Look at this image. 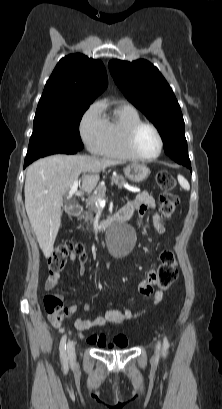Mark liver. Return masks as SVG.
<instances>
[{"instance_id":"liver-1","label":"liver","mask_w":222,"mask_h":409,"mask_svg":"<svg viewBox=\"0 0 222 409\" xmlns=\"http://www.w3.org/2000/svg\"><path fill=\"white\" fill-rule=\"evenodd\" d=\"M121 161L87 155H53L37 160L27 168L25 179V208L44 256L54 250L61 225L62 200L73 182L81 178V188L93 190L99 173Z\"/></svg>"}]
</instances>
